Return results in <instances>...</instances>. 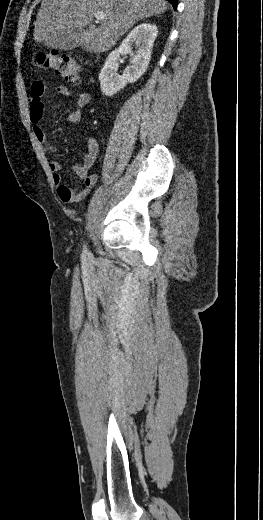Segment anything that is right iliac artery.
Wrapping results in <instances>:
<instances>
[{
  "label": "right iliac artery",
  "mask_w": 263,
  "mask_h": 520,
  "mask_svg": "<svg viewBox=\"0 0 263 520\" xmlns=\"http://www.w3.org/2000/svg\"><path fill=\"white\" fill-rule=\"evenodd\" d=\"M86 252H87V248H86V245H84L83 254H85Z\"/></svg>",
  "instance_id": "right-iliac-artery-1"
}]
</instances>
